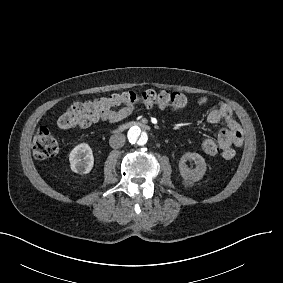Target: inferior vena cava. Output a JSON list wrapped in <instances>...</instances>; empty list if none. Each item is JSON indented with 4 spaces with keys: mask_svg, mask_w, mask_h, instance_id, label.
Instances as JSON below:
<instances>
[{
    "mask_svg": "<svg viewBox=\"0 0 283 283\" xmlns=\"http://www.w3.org/2000/svg\"><path fill=\"white\" fill-rule=\"evenodd\" d=\"M125 139L126 137L124 134H114L110 137L109 144L112 148L118 149L124 146Z\"/></svg>",
    "mask_w": 283,
    "mask_h": 283,
    "instance_id": "inferior-vena-cava-1",
    "label": "inferior vena cava"
}]
</instances>
